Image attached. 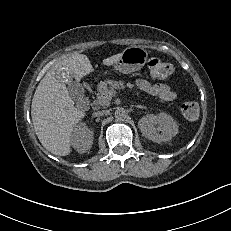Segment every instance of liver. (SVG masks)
<instances>
[{"mask_svg": "<svg viewBox=\"0 0 231 231\" xmlns=\"http://www.w3.org/2000/svg\"><path fill=\"white\" fill-rule=\"evenodd\" d=\"M122 53L108 57L103 65L111 66ZM68 68L77 80L93 72L88 57L74 54L56 63L40 81L32 99L31 116L35 133L41 144L54 155L66 156L71 152V137L85 112L75 108L67 87L56 79V72Z\"/></svg>", "mask_w": 231, "mask_h": 231, "instance_id": "6515ba94", "label": "liver"}]
</instances>
